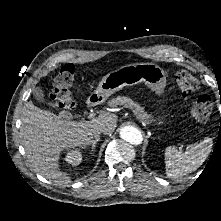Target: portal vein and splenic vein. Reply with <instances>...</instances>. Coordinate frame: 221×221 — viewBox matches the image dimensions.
<instances>
[{"mask_svg":"<svg viewBox=\"0 0 221 221\" xmlns=\"http://www.w3.org/2000/svg\"><path fill=\"white\" fill-rule=\"evenodd\" d=\"M93 117V115L92 114H90L89 116H88V118H92Z\"/></svg>","mask_w":221,"mask_h":221,"instance_id":"18ae733b","label":"portal vein and splenic vein"}]
</instances>
